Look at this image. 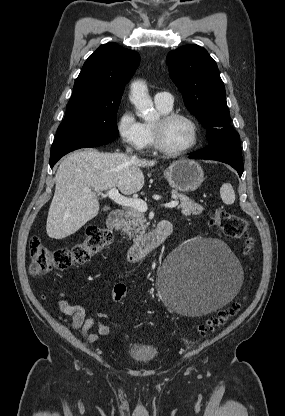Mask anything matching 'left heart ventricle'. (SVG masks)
Returning a JSON list of instances; mask_svg holds the SVG:
<instances>
[{
  "label": "left heart ventricle",
  "mask_w": 285,
  "mask_h": 416,
  "mask_svg": "<svg viewBox=\"0 0 285 416\" xmlns=\"http://www.w3.org/2000/svg\"><path fill=\"white\" fill-rule=\"evenodd\" d=\"M158 120L159 118L153 124ZM192 138L191 126L183 119H175L162 128V141L171 150L178 151L188 147Z\"/></svg>",
  "instance_id": "b2bd125f"
}]
</instances>
